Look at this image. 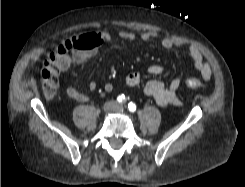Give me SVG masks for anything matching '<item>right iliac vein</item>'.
I'll use <instances>...</instances> for the list:
<instances>
[{"label": "right iliac vein", "instance_id": "obj_1", "mask_svg": "<svg viewBox=\"0 0 245 187\" xmlns=\"http://www.w3.org/2000/svg\"><path fill=\"white\" fill-rule=\"evenodd\" d=\"M117 103L115 101H107L104 105H103V111L108 112L112 109H114L116 107Z\"/></svg>", "mask_w": 245, "mask_h": 187}]
</instances>
